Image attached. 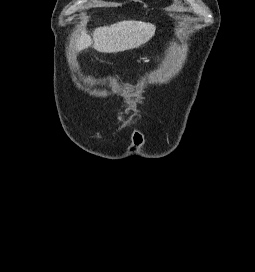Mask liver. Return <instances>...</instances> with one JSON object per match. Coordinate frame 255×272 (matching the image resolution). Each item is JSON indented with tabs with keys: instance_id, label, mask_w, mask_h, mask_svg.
<instances>
[{
	"instance_id": "liver-1",
	"label": "liver",
	"mask_w": 255,
	"mask_h": 272,
	"mask_svg": "<svg viewBox=\"0 0 255 272\" xmlns=\"http://www.w3.org/2000/svg\"><path fill=\"white\" fill-rule=\"evenodd\" d=\"M156 27L141 21H121L93 31V39L83 31L76 41L77 50L87 49L91 44L101 53H117L138 48L155 34Z\"/></svg>"
}]
</instances>
